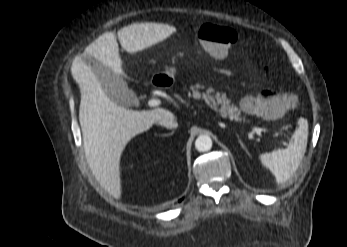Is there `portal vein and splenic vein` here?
<instances>
[{
  "label": "portal vein and splenic vein",
  "mask_w": 347,
  "mask_h": 247,
  "mask_svg": "<svg viewBox=\"0 0 347 247\" xmlns=\"http://www.w3.org/2000/svg\"><path fill=\"white\" fill-rule=\"evenodd\" d=\"M160 104V100L158 99H151L148 101V105L151 107L158 106ZM253 130L256 134L261 135V132L263 131L261 128L253 127Z\"/></svg>",
  "instance_id": "18ae733b"
}]
</instances>
